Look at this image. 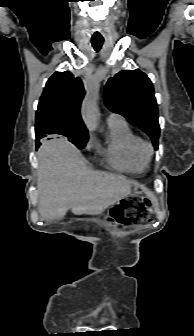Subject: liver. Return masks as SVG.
<instances>
[{"label": "liver", "mask_w": 194, "mask_h": 336, "mask_svg": "<svg viewBox=\"0 0 194 336\" xmlns=\"http://www.w3.org/2000/svg\"><path fill=\"white\" fill-rule=\"evenodd\" d=\"M39 213L43 220L101 214L131 192L120 174L93 171L79 150L65 139L44 142L38 153Z\"/></svg>", "instance_id": "6515ba94"}]
</instances>
